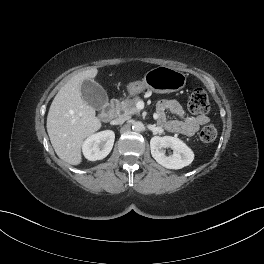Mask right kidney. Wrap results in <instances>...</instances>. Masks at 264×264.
Returning a JSON list of instances; mask_svg holds the SVG:
<instances>
[{
	"instance_id": "1",
	"label": "right kidney",
	"mask_w": 264,
	"mask_h": 264,
	"mask_svg": "<svg viewBox=\"0 0 264 264\" xmlns=\"http://www.w3.org/2000/svg\"><path fill=\"white\" fill-rule=\"evenodd\" d=\"M115 133L111 130L101 131L90 135L82 144V151L90 161L104 159L112 150Z\"/></svg>"
}]
</instances>
